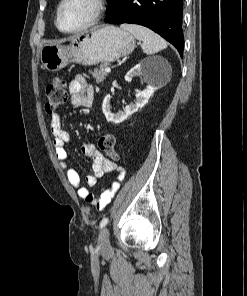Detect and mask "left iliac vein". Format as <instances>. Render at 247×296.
<instances>
[{"label": "left iliac vein", "instance_id": "1", "mask_svg": "<svg viewBox=\"0 0 247 296\" xmlns=\"http://www.w3.org/2000/svg\"><path fill=\"white\" fill-rule=\"evenodd\" d=\"M98 246L101 251H107L110 248L109 230L106 227L99 233Z\"/></svg>", "mask_w": 247, "mask_h": 296}]
</instances>
